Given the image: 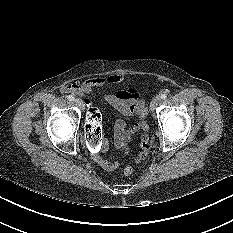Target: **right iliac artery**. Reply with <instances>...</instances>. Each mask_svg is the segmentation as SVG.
<instances>
[{"mask_svg": "<svg viewBox=\"0 0 233 233\" xmlns=\"http://www.w3.org/2000/svg\"><path fill=\"white\" fill-rule=\"evenodd\" d=\"M67 98H68L70 101H73V100L75 99L73 95H69Z\"/></svg>", "mask_w": 233, "mask_h": 233, "instance_id": "obj_1", "label": "right iliac artery"}]
</instances>
